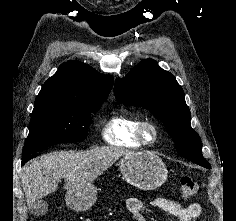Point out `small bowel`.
Here are the masks:
<instances>
[{
	"label": "small bowel",
	"instance_id": "small-bowel-1",
	"mask_svg": "<svg viewBox=\"0 0 236 221\" xmlns=\"http://www.w3.org/2000/svg\"><path fill=\"white\" fill-rule=\"evenodd\" d=\"M153 207L171 214L177 218V221H193L201 214V206L198 203L188 205L182 204L174 198H155L150 203ZM127 210L135 221H146L142 212L146 205L143 199L130 197L126 202Z\"/></svg>",
	"mask_w": 236,
	"mask_h": 221
}]
</instances>
